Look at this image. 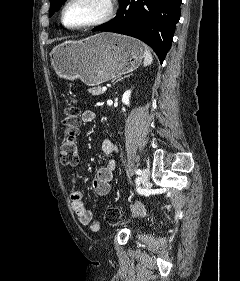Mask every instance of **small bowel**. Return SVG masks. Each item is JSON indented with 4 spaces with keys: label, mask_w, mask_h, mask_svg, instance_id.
<instances>
[{
    "label": "small bowel",
    "mask_w": 240,
    "mask_h": 281,
    "mask_svg": "<svg viewBox=\"0 0 240 281\" xmlns=\"http://www.w3.org/2000/svg\"><path fill=\"white\" fill-rule=\"evenodd\" d=\"M81 119L84 123L93 122L96 119V113L93 110H85ZM102 150L107 156H111L116 152L115 144L108 138L102 142ZM115 169V161L109 159L107 164L100 167L93 180L92 187L94 192L99 196L108 195L111 190V181ZM71 182L75 186L78 182L77 175L73 174ZM71 206L79 222L89 228L90 231H98L99 222L93 219L91 211H89L84 203L83 194L80 190L73 188L70 192Z\"/></svg>",
    "instance_id": "c3829d8e"
}]
</instances>
